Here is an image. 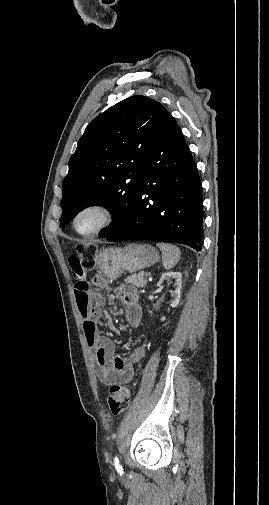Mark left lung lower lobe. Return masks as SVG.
Returning <instances> with one entry per match:
<instances>
[{
    "label": "left lung lower lobe",
    "mask_w": 269,
    "mask_h": 505,
    "mask_svg": "<svg viewBox=\"0 0 269 505\" xmlns=\"http://www.w3.org/2000/svg\"><path fill=\"white\" fill-rule=\"evenodd\" d=\"M128 221L103 236L108 241L147 239L201 250V180L183 134L166 113L153 136Z\"/></svg>",
    "instance_id": "1"
}]
</instances>
